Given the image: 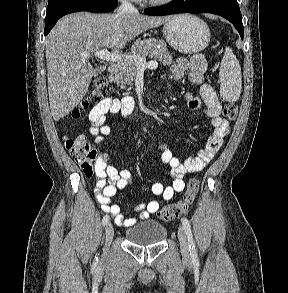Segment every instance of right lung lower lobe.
<instances>
[{
    "label": "right lung lower lobe",
    "instance_id": "obj_1",
    "mask_svg": "<svg viewBox=\"0 0 288 293\" xmlns=\"http://www.w3.org/2000/svg\"><path fill=\"white\" fill-rule=\"evenodd\" d=\"M118 1L99 2L96 0H73L61 5H58L50 10H47L45 17L44 35H47L54 27L56 22L64 15L79 12L89 11L93 13H108L115 9Z\"/></svg>",
    "mask_w": 288,
    "mask_h": 293
}]
</instances>
